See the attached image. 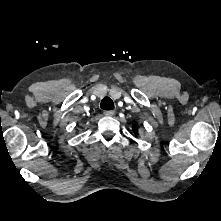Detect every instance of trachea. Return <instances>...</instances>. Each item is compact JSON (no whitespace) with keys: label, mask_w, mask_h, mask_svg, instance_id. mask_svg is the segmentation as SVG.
I'll use <instances>...</instances> for the list:
<instances>
[{"label":"trachea","mask_w":221,"mask_h":221,"mask_svg":"<svg viewBox=\"0 0 221 221\" xmlns=\"http://www.w3.org/2000/svg\"><path fill=\"white\" fill-rule=\"evenodd\" d=\"M100 107L104 110H112L114 109V103L111 98L104 97L101 101Z\"/></svg>","instance_id":"obj_1"}]
</instances>
